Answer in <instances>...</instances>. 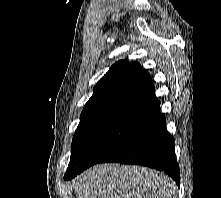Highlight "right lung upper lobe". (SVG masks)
<instances>
[{
  "instance_id": "cb5924a9",
  "label": "right lung upper lobe",
  "mask_w": 221,
  "mask_h": 198,
  "mask_svg": "<svg viewBox=\"0 0 221 198\" xmlns=\"http://www.w3.org/2000/svg\"><path fill=\"white\" fill-rule=\"evenodd\" d=\"M159 110L150 74L138 62L121 60L94 87L77 129L104 119L144 122Z\"/></svg>"
}]
</instances>
